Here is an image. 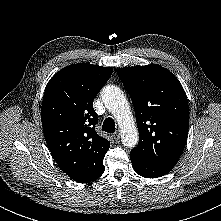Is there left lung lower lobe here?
I'll list each match as a JSON object with an SVG mask.
<instances>
[{
  "label": "left lung lower lobe",
  "instance_id": "left-lung-lower-lobe-1",
  "mask_svg": "<svg viewBox=\"0 0 221 221\" xmlns=\"http://www.w3.org/2000/svg\"><path fill=\"white\" fill-rule=\"evenodd\" d=\"M134 171L145 178H157L167 174L174 166L153 164L130 155Z\"/></svg>",
  "mask_w": 221,
  "mask_h": 221
}]
</instances>
